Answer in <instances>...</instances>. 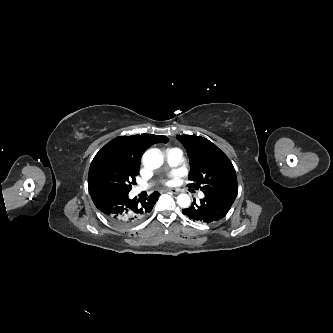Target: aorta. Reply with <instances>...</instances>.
Wrapping results in <instances>:
<instances>
[{
    "instance_id": "762f6f07",
    "label": "aorta",
    "mask_w": 333,
    "mask_h": 333,
    "mask_svg": "<svg viewBox=\"0 0 333 333\" xmlns=\"http://www.w3.org/2000/svg\"><path fill=\"white\" fill-rule=\"evenodd\" d=\"M143 163L149 168L156 169L163 164V157L157 149H149L143 155ZM177 203L180 207L187 208L190 205V197L187 194H180Z\"/></svg>"
}]
</instances>
